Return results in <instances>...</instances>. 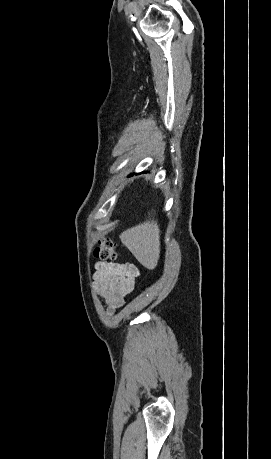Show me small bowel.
<instances>
[{
    "label": "small bowel",
    "instance_id": "small-bowel-1",
    "mask_svg": "<svg viewBox=\"0 0 271 459\" xmlns=\"http://www.w3.org/2000/svg\"><path fill=\"white\" fill-rule=\"evenodd\" d=\"M138 276V269L131 264L97 263L93 285L97 294L106 300L108 314L124 305L125 297L133 292Z\"/></svg>",
    "mask_w": 271,
    "mask_h": 459
}]
</instances>
